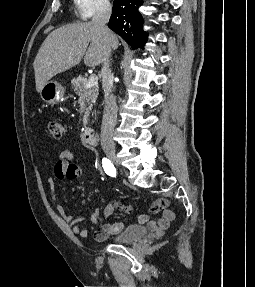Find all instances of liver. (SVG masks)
Masks as SVG:
<instances>
[{
	"instance_id": "obj_1",
	"label": "liver",
	"mask_w": 255,
	"mask_h": 287,
	"mask_svg": "<svg viewBox=\"0 0 255 287\" xmlns=\"http://www.w3.org/2000/svg\"><path fill=\"white\" fill-rule=\"evenodd\" d=\"M118 44L115 34L109 36L111 50H117ZM103 54L104 40L97 24L79 22L54 30L44 40L33 62L37 92H41L43 86L53 76L80 64L82 58L85 66L89 68L99 66Z\"/></svg>"
}]
</instances>
